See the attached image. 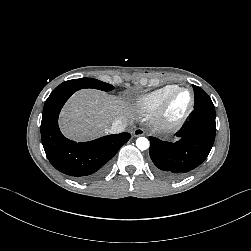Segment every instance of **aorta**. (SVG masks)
Listing matches in <instances>:
<instances>
[{
	"mask_svg": "<svg viewBox=\"0 0 251 251\" xmlns=\"http://www.w3.org/2000/svg\"><path fill=\"white\" fill-rule=\"evenodd\" d=\"M136 146L140 149V150H146L149 148V141L147 138L145 137H139L136 140Z\"/></svg>",
	"mask_w": 251,
	"mask_h": 251,
	"instance_id": "762f6f07",
	"label": "aorta"
}]
</instances>
